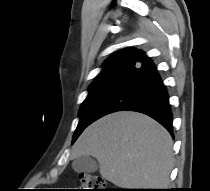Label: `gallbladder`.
Segmentation results:
<instances>
[{
    "instance_id": "bac80fb5",
    "label": "gallbladder",
    "mask_w": 210,
    "mask_h": 191,
    "mask_svg": "<svg viewBox=\"0 0 210 191\" xmlns=\"http://www.w3.org/2000/svg\"><path fill=\"white\" fill-rule=\"evenodd\" d=\"M72 168L78 173H94L98 170V164L90 156H81L73 161Z\"/></svg>"
}]
</instances>
